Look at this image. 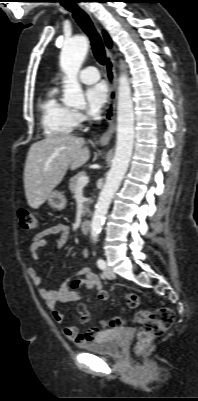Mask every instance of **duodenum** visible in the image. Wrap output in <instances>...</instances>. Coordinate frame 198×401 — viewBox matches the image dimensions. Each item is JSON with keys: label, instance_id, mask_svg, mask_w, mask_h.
<instances>
[{"label": "duodenum", "instance_id": "obj_1", "mask_svg": "<svg viewBox=\"0 0 198 401\" xmlns=\"http://www.w3.org/2000/svg\"><path fill=\"white\" fill-rule=\"evenodd\" d=\"M80 228H81L82 233L87 234L91 228V221L89 219L83 220L81 222Z\"/></svg>", "mask_w": 198, "mask_h": 401}]
</instances>
